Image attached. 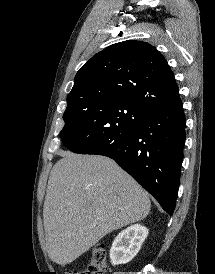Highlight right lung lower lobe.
<instances>
[{
	"instance_id": "1",
	"label": "right lung lower lobe",
	"mask_w": 215,
	"mask_h": 274,
	"mask_svg": "<svg viewBox=\"0 0 215 274\" xmlns=\"http://www.w3.org/2000/svg\"><path fill=\"white\" fill-rule=\"evenodd\" d=\"M185 123L182 102L156 108L130 133L88 154L115 160L171 215L180 182Z\"/></svg>"
}]
</instances>
